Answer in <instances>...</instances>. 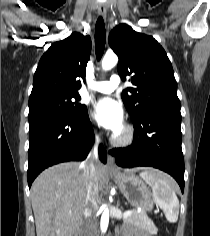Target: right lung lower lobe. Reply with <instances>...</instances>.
Wrapping results in <instances>:
<instances>
[{
  "label": "right lung lower lobe",
  "instance_id": "right-lung-lower-lobe-1",
  "mask_svg": "<svg viewBox=\"0 0 210 236\" xmlns=\"http://www.w3.org/2000/svg\"><path fill=\"white\" fill-rule=\"evenodd\" d=\"M94 143V132L88 115L73 118L49 115L29 121L28 185L45 168L66 161L84 160ZM99 158L107 153L99 146Z\"/></svg>",
  "mask_w": 210,
  "mask_h": 236
}]
</instances>
